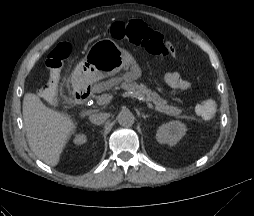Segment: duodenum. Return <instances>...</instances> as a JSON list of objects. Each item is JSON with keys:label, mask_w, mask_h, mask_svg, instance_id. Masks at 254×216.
<instances>
[{"label": "duodenum", "mask_w": 254, "mask_h": 216, "mask_svg": "<svg viewBox=\"0 0 254 216\" xmlns=\"http://www.w3.org/2000/svg\"><path fill=\"white\" fill-rule=\"evenodd\" d=\"M91 86L86 85L83 86L81 88H79L76 92H75V100L79 103V104H85L87 103L90 94H91Z\"/></svg>", "instance_id": "410a0bca"}]
</instances>
